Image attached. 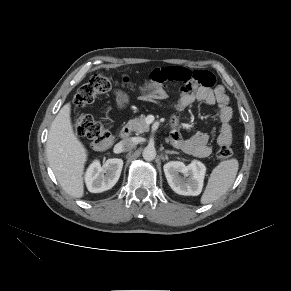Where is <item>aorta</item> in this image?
<instances>
[{"mask_svg":"<svg viewBox=\"0 0 291 291\" xmlns=\"http://www.w3.org/2000/svg\"><path fill=\"white\" fill-rule=\"evenodd\" d=\"M142 156H143V158L146 161H152V160H154L155 157H156V150H155V148L154 147H151V146H147L143 150Z\"/></svg>","mask_w":291,"mask_h":291,"instance_id":"762f6f07","label":"aorta"}]
</instances>
